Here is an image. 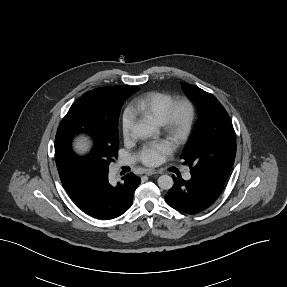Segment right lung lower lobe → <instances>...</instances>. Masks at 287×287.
<instances>
[{"instance_id":"98d812e1","label":"right lung lower lobe","mask_w":287,"mask_h":287,"mask_svg":"<svg viewBox=\"0 0 287 287\" xmlns=\"http://www.w3.org/2000/svg\"><path fill=\"white\" fill-rule=\"evenodd\" d=\"M63 187L73 201L87 214L97 219L121 216L132 205L133 195L141 179L133 173L123 182L111 185L108 173L68 172L58 170Z\"/></svg>"}]
</instances>
